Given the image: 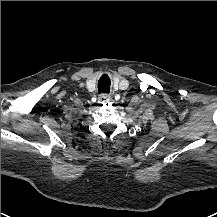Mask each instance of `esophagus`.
I'll use <instances>...</instances> for the list:
<instances>
[{
    "label": "esophagus",
    "mask_w": 217,
    "mask_h": 217,
    "mask_svg": "<svg viewBox=\"0 0 217 217\" xmlns=\"http://www.w3.org/2000/svg\"><path fill=\"white\" fill-rule=\"evenodd\" d=\"M111 101V97L109 96V95H107V94H104V95H101L100 97H99V102L100 103H107V102H110Z\"/></svg>",
    "instance_id": "esophagus-1"
}]
</instances>
